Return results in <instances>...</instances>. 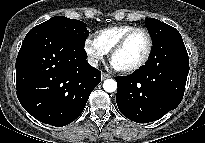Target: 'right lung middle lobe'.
<instances>
[{"mask_svg": "<svg viewBox=\"0 0 205 143\" xmlns=\"http://www.w3.org/2000/svg\"><path fill=\"white\" fill-rule=\"evenodd\" d=\"M53 30L75 43L84 46L85 39L88 36L86 24L80 20L69 19L64 16H55L49 20L37 25L34 29Z\"/></svg>", "mask_w": 205, "mask_h": 143, "instance_id": "dd1d6c3e", "label": "right lung middle lobe"}]
</instances>
